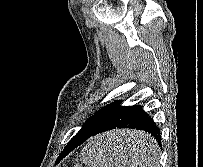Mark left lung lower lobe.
I'll return each instance as SVG.
<instances>
[{"label": "left lung lower lobe", "mask_w": 203, "mask_h": 167, "mask_svg": "<svg viewBox=\"0 0 203 167\" xmlns=\"http://www.w3.org/2000/svg\"><path fill=\"white\" fill-rule=\"evenodd\" d=\"M120 104L121 101H118L109 115L98 125V127L93 132L88 133L87 135L81 134L73 137L62 151V156L70 153L90 137L117 128H130L145 131L151 134V136L161 147L160 128L153 121V118H150L141 106H121ZM111 146L115 149L117 146L123 148H133L138 154L142 153L143 150L145 151V146H141L137 143H125L120 145V143L116 144L112 142Z\"/></svg>", "instance_id": "0a47b994"}]
</instances>
